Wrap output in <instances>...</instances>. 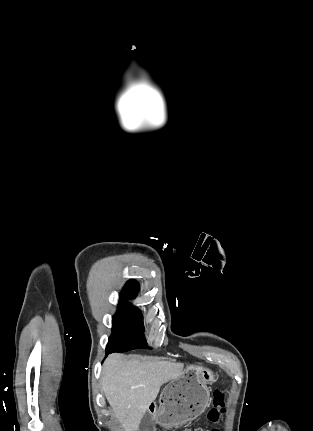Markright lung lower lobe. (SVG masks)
<instances>
[{"label": "right lung lower lobe", "mask_w": 313, "mask_h": 431, "mask_svg": "<svg viewBox=\"0 0 313 431\" xmlns=\"http://www.w3.org/2000/svg\"><path fill=\"white\" fill-rule=\"evenodd\" d=\"M109 354V352H106V355H108Z\"/></svg>", "instance_id": "1"}]
</instances>
